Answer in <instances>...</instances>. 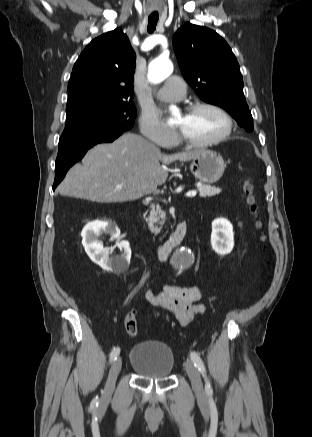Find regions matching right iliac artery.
Here are the masks:
<instances>
[{"label": "right iliac artery", "mask_w": 312, "mask_h": 437, "mask_svg": "<svg viewBox=\"0 0 312 437\" xmlns=\"http://www.w3.org/2000/svg\"><path fill=\"white\" fill-rule=\"evenodd\" d=\"M120 353V348L115 347L110 353V362L115 361ZM96 405H98V398L96 397L93 401Z\"/></svg>", "instance_id": "1"}]
</instances>
